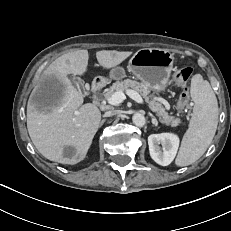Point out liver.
I'll list each match as a JSON object with an SVG mask.
<instances>
[{"instance_id":"obj_1","label":"liver","mask_w":231,"mask_h":231,"mask_svg":"<svg viewBox=\"0 0 231 231\" xmlns=\"http://www.w3.org/2000/svg\"><path fill=\"white\" fill-rule=\"evenodd\" d=\"M131 54V51L101 50L96 52V58L103 68L110 69ZM88 60L86 49L58 57L44 70L29 98L28 133L37 150L50 161L75 164L83 160L99 128L100 110L92 103L83 105L82 94L68 78L69 74L84 75ZM36 93L38 100L34 102ZM66 147L74 148L73 156H64Z\"/></svg>"}]
</instances>
